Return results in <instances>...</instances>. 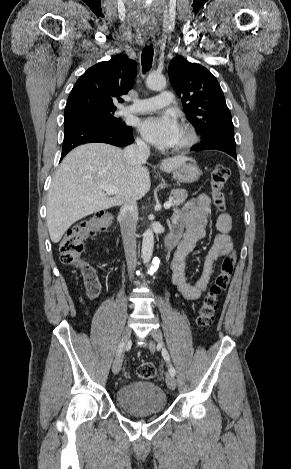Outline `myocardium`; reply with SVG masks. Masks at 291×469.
Segmentation results:
<instances>
[{
    "instance_id": "myocardium-1",
    "label": "myocardium",
    "mask_w": 291,
    "mask_h": 469,
    "mask_svg": "<svg viewBox=\"0 0 291 469\" xmlns=\"http://www.w3.org/2000/svg\"><path fill=\"white\" fill-rule=\"evenodd\" d=\"M181 130L184 132L186 138L181 144L172 149L177 153H183L190 150L198 141L197 133L191 125L183 124Z\"/></svg>"
}]
</instances>
